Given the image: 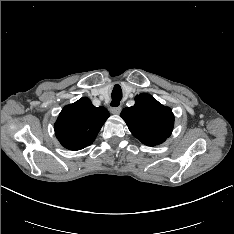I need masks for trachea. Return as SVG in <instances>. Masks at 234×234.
Listing matches in <instances>:
<instances>
[{"label": "trachea", "instance_id": "3493384b", "mask_svg": "<svg viewBox=\"0 0 234 234\" xmlns=\"http://www.w3.org/2000/svg\"><path fill=\"white\" fill-rule=\"evenodd\" d=\"M121 98H122V95H120V94H115V93L112 92V101H111V104H110V105H111L112 107H117V106H119V102H120Z\"/></svg>", "mask_w": 234, "mask_h": 234}]
</instances>
